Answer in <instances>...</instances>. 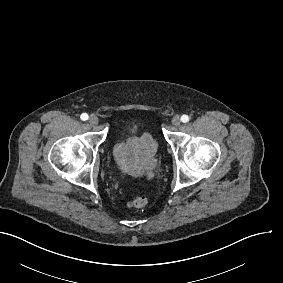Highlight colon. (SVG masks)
<instances>
[{
    "label": "colon",
    "mask_w": 283,
    "mask_h": 283,
    "mask_svg": "<svg viewBox=\"0 0 283 283\" xmlns=\"http://www.w3.org/2000/svg\"><path fill=\"white\" fill-rule=\"evenodd\" d=\"M132 208L142 209L147 205V198L142 194H135L128 204Z\"/></svg>",
    "instance_id": "1"
}]
</instances>
